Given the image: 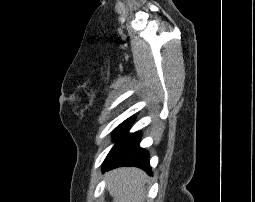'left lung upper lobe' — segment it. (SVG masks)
<instances>
[{
  "label": "left lung upper lobe",
  "mask_w": 255,
  "mask_h": 202,
  "mask_svg": "<svg viewBox=\"0 0 255 202\" xmlns=\"http://www.w3.org/2000/svg\"><path fill=\"white\" fill-rule=\"evenodd\" d=\"M133 118L127 119L122 124H120L116 130L114 131V139L116 141L115 145L107 155L105 161H110L113 159L120 150L124 147V145L127 143V141L134 135V134H128V130L130 126L132 125Z\"/></svg>",
  "instance_id": "5c2ea615"
}]
</instances>
